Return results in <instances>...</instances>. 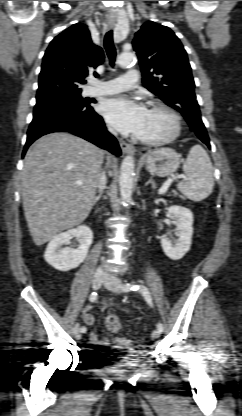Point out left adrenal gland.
<instances>
[{
  "mask_svg": "<svg viewBox=\"0 0 242 416\" xmlns=\"http://www.w3.org/2000/svg\"><path fill=\"white\" fill-rule=\"evenodd\" d=\"M149 184H151L152 188H153V189H155L156 184H155V182L153 181L152 177H150V179H149V180L145 183V186H147V185H149Z\"/></svg>",
  "mask_w": 242,
  "mask_h": 416,
  "instance_id": "obj_1",
  "label": "left adrenal gland"
}]
</instances>
